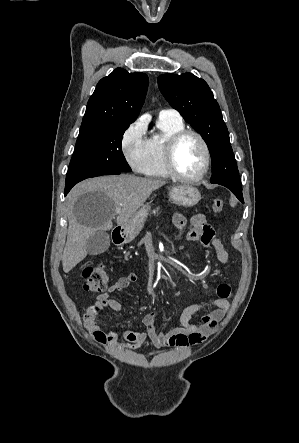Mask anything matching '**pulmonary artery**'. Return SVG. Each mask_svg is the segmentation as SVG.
<instances>
[{
    "label": "pulmonary artery",
    "mask_w": 299,
    "mask_h": 443,
    "mask_svg": "<svg viewBox=\"0 0 299 443\" xmlns=\"http://www.w3.org/2000/svg\"><path fill=\"white\" fill-rule=\"evenodd\" d=\"M159 118L182 119L174 109H163L159 112Z\"/></svg>",
    "instance_id": "1"
}]
</instances>
